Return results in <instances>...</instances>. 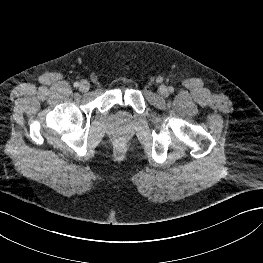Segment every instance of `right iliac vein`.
<instances>
[{"label":"right iliac vein","instance_id":"63e3f726","mask_svg":"<svg viewBox=\"0 0 263 263\" xmlns=\"http://www.w3.org/2000/svg\"><path fill=\"white\" fill-rule=\"evenodd\" d=\"M89 88H90V84L88 81L86 80L81 81L80 86H79V90L81 92H87Z\"/></svg>","mask_w":263,"mask_h":263}]
</instances>
